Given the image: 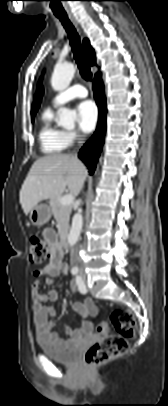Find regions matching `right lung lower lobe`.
Instances as JSON below:
<instances>
[{
	"mask_svg": "<svg viewBox=\"0 0 168 406\" xmlns=\"http://www.w3.org/2000/svg\"><path fill=\"white\" fill-rule=\"evenodd\" d=\"M94 97L99 109V118L97 129L93 136L85 143L79 152V158L89 167V172L94 173L96 163L98 161L106 131V98L104 94V86L100 75L94 79Z\"/></svg>",
	"mask_w": 168,
	"mask_h": 406,
	"instance_id": "1",
	"label": "right lung lower lobe"
}]
</instances>
